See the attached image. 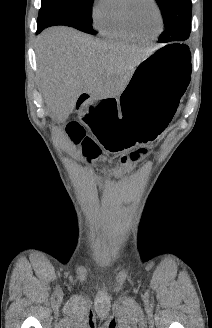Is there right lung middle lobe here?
<instances>
[{"instance_id":"obj_1","label":"right lung middle lobe","mask_w":212,"mask_h":328,"mask_svg":"<svg viewBox=\"0 0 212 328\" xmlns=\"http://www.w3.org/2000/svg\"><path fill=\"white\" fill-rule=\"evenodd\" d=\"M37 25H67L95 35L91 21L94 0H41Z\"/></svg>"}]
</instances>
